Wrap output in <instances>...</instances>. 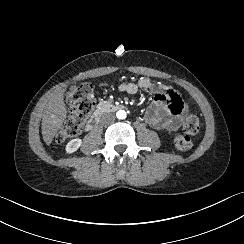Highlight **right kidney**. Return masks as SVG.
Masks as SVG:
<instances>
[{"instance_id": "right-kidney-1", "label": "right kidney", "mask_w": 244, "mask_h": 244, "mask_svg": "<svg viewBox=\"0 0 244 244\" xmlns=\"http://www.w3.org/2000/svg\"><path fill=\"white\" fill-rule=\"evenodd\" d=\"M81 144H82V140L79 138L69 141L68 144L66 145V152L70 154L77 151L78 148L81 146Z\"/></svg>"}]
</instances>
